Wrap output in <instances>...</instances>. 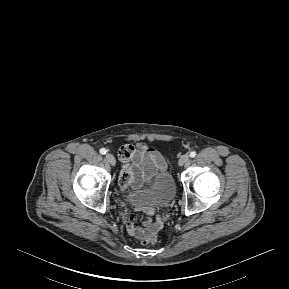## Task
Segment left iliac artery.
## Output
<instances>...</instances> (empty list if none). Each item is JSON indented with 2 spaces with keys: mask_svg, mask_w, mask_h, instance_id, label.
I'll return each mask as SVG.
<instances>
[{
  "mask_svg": "<svg viewBox=\"0 0 289 289\" xmlns=\"http://www.w3.org/2000/svg\"><path fill=\"white\" fill-rule=\"evenodd\" d=\"M195 156H196V152L195 151L190 152V157L191 158H194Z\"/></svg>",
  "mask_w": 289,
  "mask_h": 289,
  "instance_id": "left-iliac-artery-1",
  "label": "left iliac artery"
}]
</instances>
